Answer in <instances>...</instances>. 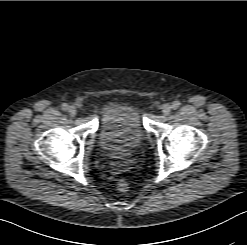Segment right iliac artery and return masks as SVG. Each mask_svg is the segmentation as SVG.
Instances as JSON below:
<instances>
[{"instance_id":"right-iliac-artery-1","label":"right iliac artery","mask_w":247,"mask_h":245,"mask_svg":"<svg viewBox=\"0 0 247 245\" xmlns=\"http://www.w3.org/2000/svg\"><path fill=\"white\" fill-rule=\"evenodd\" d=\"M68 108H69L68 104H66V103L62 104V110L66 111V110H68Z\"/></svg>"}]
</instances>
